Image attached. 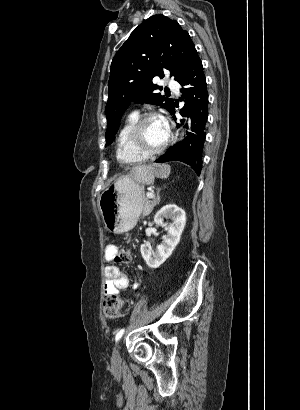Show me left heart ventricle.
I'll return each mask as SVG.
<instances>
[{
  "instance_id": "obj_1",
  "label": "left heart ventricle",
  "mask_w": 300,
  "mask_h": 410,
  "mask_svg": "<svg viewBox=\"0 0 300 410\" xmlns=\"http://www.w3.org/2000/svg\"><path fill=\"white\" fill-rule=\"evenodd\" d=\"M143 141L148 148L160 147L168 136L162 121L158 118L147 121L142 129Z\"/></svg>"
}]
</instances>
